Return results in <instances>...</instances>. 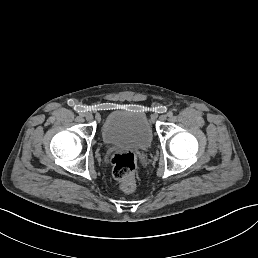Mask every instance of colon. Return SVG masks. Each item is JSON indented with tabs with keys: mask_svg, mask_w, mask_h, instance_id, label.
Returning <instances> with one entry per match:
<instances>
[{
	"mask_svg": "<svg viewBox=\"0 0 258 258\" xmlns=\"http://www.w3.org/2000/svg\"><path fill=\"white\" fill-rule=\"evenodd\" d=\"M114 179L126 193H133L137 188V158L132 152H114L111 156Z\"/></svg>",
	"mask_w": 258,
	"mask_h": 258,
	"instance_id": "1",
	"label": "colon"
}]
</instances>
